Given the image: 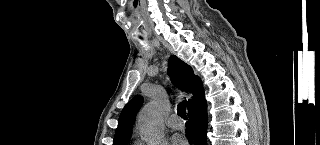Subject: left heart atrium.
Here are the masks:
<instances>
[{
  "label": "left heart atrium",
  "instance_id": "obj_1",
  "mask_svg": "<svg viewBox=\"0 0 320 145\" xmlns=\"http://www.w3.org/2000/svg\"><path fill=\"white\" fill-rule=\"evenodd\" d=\"M172 143H173L174 145H183L184 140H183V138L180 137V136H175V137L173 138V140H172Z\"/></svg>",
  "mask_w": 320,
  "mask_h": 145
}]
</instances>
